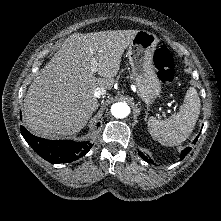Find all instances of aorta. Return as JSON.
<instances>
[{"label": "aorta", "instance_id": "762f6f07", "mask_svg": "<svg viewBox=\"0 0 221 221\" xmlns=\"http://www.w3.org/2000/svg\"><path fill=\"white\" fill-rule=\"evenodd\" d=\"M111 113L116 118H125L130 113V108L126 103L118 102L111 106Z\"/></svg>", "mask_w": 221, "mask_h": 221}]
</instances>
